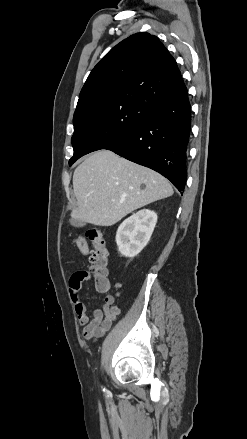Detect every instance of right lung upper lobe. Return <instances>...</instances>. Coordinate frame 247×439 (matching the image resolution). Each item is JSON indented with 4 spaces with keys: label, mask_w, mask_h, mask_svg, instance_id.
Instances as JSON below:
<instances>
[{
    "label": "right lung upper lobe",
    "mask_w": 247,
    "mask_h": 439,
    "mask_svg": "<svg viewBox=\"0 0 247 439\" xmlns=\"http://www.w3.org/2000/svg\"><path fill=\"white\" fill-rule=\"evenodd\" d=\"M185 91L172 55L156 36L140 32L113 47L94 67L74 115L115 100L135 101L151 108Z\"/></svg>",
    "instance_id": "cb5924a9"
}]
</instances>
